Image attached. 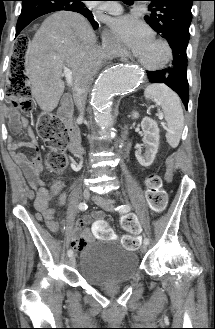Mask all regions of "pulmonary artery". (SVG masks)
<instances>
[{"instance_id": "pulmonary-artery-1", "label": "pulmonary artery", "mask_w": 215, "mask_h": 329, "mask_svg": "<svg viewBox=\"0 0 215 329\" xmlns=\"http://www.w3.org/2000/svg\"><path fill=\"white\" fill-rule=\"evenodd\" d=\"M94 7L110 14H119L123 10L121 5L117 3L95 4Z\"/></svg>"}]
</instances>
